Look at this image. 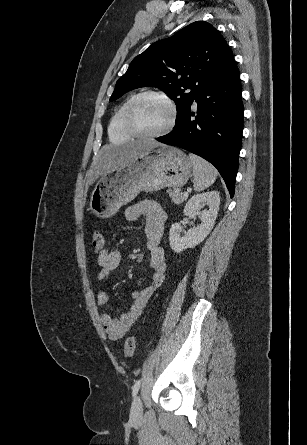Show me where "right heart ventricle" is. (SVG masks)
<instances>
[{"label":"right heart ventricle","mask_w":307,"mask_h":445,"mask_svg":"<svg viewBox=\"0 0 307 445\" xmlns=\"http://www.w3.org/2000/svg\"><path fill=\"white\" fill-rule=\"evenodd\" d=\"M127 101L111 118L108 133L111 140H132V133L127 125Z\"/></svg>","instance_id":"right-heart-ventricle-1"}]
</instances>
